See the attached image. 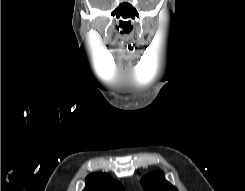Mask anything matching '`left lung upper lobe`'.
I'll list each match as a JSON object with an SVG mask.
<instances>
[{"mask_svg":"<svg viewBox=\"0 0 245 191\" xmlns=\"http://www.w3.org/2000/svg\"><path fill=\"white\" fill-rule=\"evenodd\" d=\"M146 191H178L172 184L165 180L160 172H153L141 179Z\"/></svg>","mask_w":245,"mask_h":191,"instance_id":"left-lung-upper-lobe-1","label":"left lung upper lobe"}]
</instances>
